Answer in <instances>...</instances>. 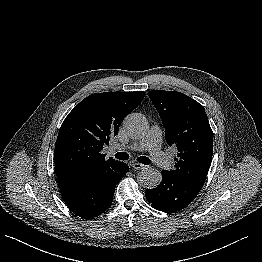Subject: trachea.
<instances>
[{"label": "trachea", "instance_id": "trachea-1", "mask_svg": "<svg viewBox=\"0 0 262 262\" xmlns=\"http://www.w3.org/2000/svg\"><path fill=\"white\" fill-rule=\"evenodd\" d=\"M115 158L118 160H128L129 155L126 152H118L115 154ZM137 161L144 164V165H149L151 163V160L145 156H140L137 158Z\"/></svg>", "mask_w": 262, "mask_h": 262}]
</instances>
